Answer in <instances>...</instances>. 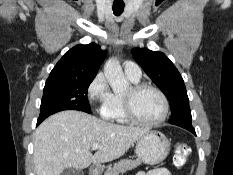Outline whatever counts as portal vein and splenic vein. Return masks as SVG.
I'll list each match as a JSON object with an SVG mask.
<instances>
[{"instance_id":"18ae733b","label":"portal vein and splenic vein","mask_w":233,"mask_h":175,"mask_svg":"<svg viewBox=\"0 0 233 175\" xmlns=\"http://www.w3.org/2000/svg\"><path fill=\"white\" fill-rule=\"evenodd\" d=\"M99 148H100L99 144H93L91 147L92 150H98Z\"/></svg>"}]
</instances>
